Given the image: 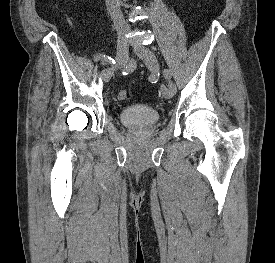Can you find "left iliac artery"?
<instances>
[{
  "label": "left iliac artery",
  "mask_w": 275,
  "mask_h": 263,
  "mask_svg": "<svg viewBox=\"0 0 275 263\" xmlns=\"http://www.w3.org/2000/svg\"><path fill=\"white\" fill-rule=\"evenodd\" d=\"M164 77L168 80V85L169 87L172 89V91L174 92V94L176 93L177 89L175 84L171 81V72L168 69H165L163 71Z\"/></svg>",
  "instance_id": "left-iliac-artery-1"
}]
</instances>
